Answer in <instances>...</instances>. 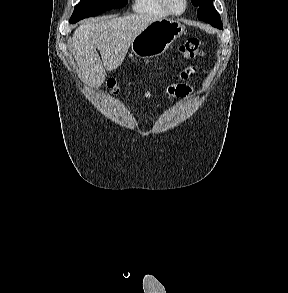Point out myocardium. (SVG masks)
I'll list each match as a JSON object with an SVG mask.
<instances>
[{
    "label": "myocardium",
    "instance_id": "obj_1",
    "mask_svg": "<svg viewBox=\"0 0 288 293\" xmlns=\"http://www.w3.org/2000/svg\"><path fill=\"white\" fill-rule=\"evenodd\" d=\"M160 2L169 14L175 15V16H179V15H182L183 13H185V11L187 10V7H188V0H183L184 8L180 12H176L170 7L168 0H160Z\"/></svg>",
    "mask_w": 288,
    "mask_h": 293
}]
</instances>
